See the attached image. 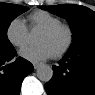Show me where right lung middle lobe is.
<instances>
[{
  "mask_svg": "<svg viewBox=\"0 0 95 95\" xmlns=\"http://www.w3.org/2000/svg\"><path fill=\"white\" fill-rule=\"evenodd\" d=\"M28 8L10 3H0V52L13 49V45L7 39V29L11 21Z\"/></svg>",
  "mask_w": 95,
  "mask_h": 95,
  "instance_id": "1",
  "label": "right lung middle lobe"
}]
</instances>
